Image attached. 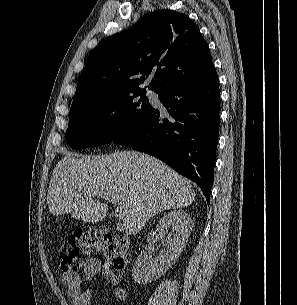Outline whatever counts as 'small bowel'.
Listing matches in <instances>:
<instances>
[{"mask_svg":"<svg viewBox=\"0 0 297 305\" xmlns=\"http://www.w3.org/2000/svg\"><path fill=\"white\" fill-rule=\"evenodd\" d=\"M101 272L105 279L115 286V298L118 301L127 299L126 289L119 286V275L107 265H103L100 260L92 259L85 264L82 274L75 271H65L61 275L62 283L71 297L73 305H91L92 282Z\"/></svg>","mask_w":297,"mask_h":305,"instance_id":"c3829d8e","label":"small bowel"}]
</instances>
